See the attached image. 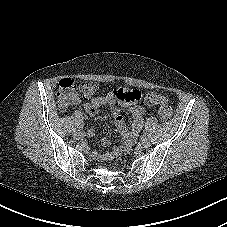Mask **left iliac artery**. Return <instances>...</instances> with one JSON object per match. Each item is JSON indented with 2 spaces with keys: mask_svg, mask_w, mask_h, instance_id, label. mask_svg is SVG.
I'll use <instances>...</instances> for the list:
<instances>
[{
  "mask_svg": "<svg viewBox=\"0 0 227 227\" xmlns=\"http://www.w3.org/2000/svg\"><path fill=\"white\" fill-rule=\"evenodd\" d=\"M145 136H149V133L145 132Z\"/></svg>",
  "mask_w": 227,
  "mask_h": 227,
  "instance_id": "obj_1",
  "label": "left iliac artery"
}]
</instances>
